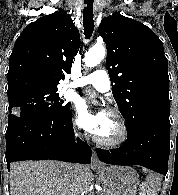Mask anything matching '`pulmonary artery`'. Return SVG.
Returning <instances> with one entry per match:
<instances>
[{
	"instance_id": "pulmonary-artery-1",
	"label": "pulmonary artery",
	"mask_w": 178,
	"mask_h": 195,
	"mask_svg": "<svg viewBox=\"0 0 178 195\" xmlns=\"http://www.w3.org/2000/svg\"><path fill=\"white\" fill-rule=\"evenodd\" d=\"M73 86H92L99 92H108L111 88L109 76L104 70H96L90 73L89 75L81 78Z\"/></svg>"
}]
</instances>
